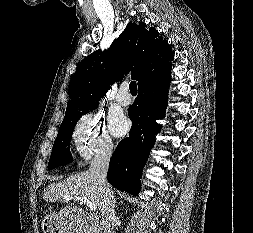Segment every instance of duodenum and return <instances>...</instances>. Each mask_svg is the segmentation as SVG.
<instances>
[{
	"instance_id": "obj_1",
	"label": "duodenum",
	"mask_w": 253,
	"mask_h": 233,
	"mask_svg": "<svg viewBox=\"0 0 253 233\" xmlns=\"http://www.w3.org/2000/svg\"><path fill=\"white\" fill-rule=\"evenodd\" d=\"M107 227H108L107 222L100 215L92 216L87 226L89 231H96V230L105 231Z\"/></svg>"
}]
</instances>
